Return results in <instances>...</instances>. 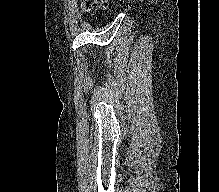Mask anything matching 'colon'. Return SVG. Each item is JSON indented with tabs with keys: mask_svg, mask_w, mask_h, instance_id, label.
<instances>
[{
	"mask_svg": "<svg viewBox=\"0 0 219 192\" xmlns=\"http://www.w3.org/2000/svg\"><path fill=\"white\" fill-rule=\"evenodd\" d=\"M105 0H102L101 3H97L95 0L92 1H86L83 4V10L86 13H92L94 12L98 7H100L101 5H103Z\"/></svg>",
	"mask_w": 219,
	"mask_h": 192,
	"instance_id": "obj_1",
	"label": "colon"
}]
</instances>
